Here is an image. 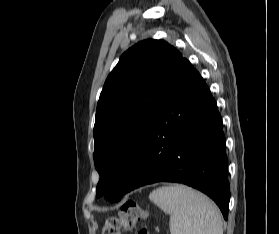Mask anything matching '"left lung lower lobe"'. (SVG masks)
Masks as SVG:
<instances>
[{"instance_id":"obj_1","label":"left lung lower lobe","mask_w":279,"mask_h":234,"mask_svg":"<svg viewBox=\"0 0 279 234\" xmlns=\"http://www.w3.org/2000/svg\"><path fill=\"white\" fill-rule=\"evenodd\" d=\"M227 165L217 104L200 74L182 58L160 99L123 194L159 181L183 183L212 198L227 220Z\"/></svg>"}]
</instances>
